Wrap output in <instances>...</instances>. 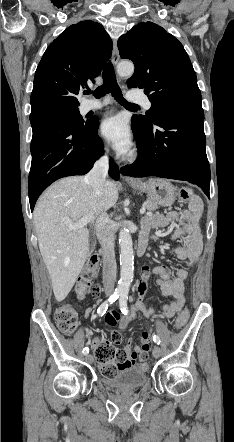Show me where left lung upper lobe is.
<instances>
[{"mask_svg": "<svg viewBox=\"0 0 234 442\" xmlns=\"http://www.w3.org/2000/svg\"><path fill=\"white\" fill-rule=\"evenodd\" d=\"M122 59L135 71L131 88H143L152 106L146 116L132 117L134 135L149 129L165 112L183 106H201V93L191 61L182 44L155 23H139L118 40Z\"/></svg>", "mask_w": 234, "mask_h": 442, "instance_id": "left-lung-upper-lobe-1", "label": "left lung upper lobe"}]
</instances>
